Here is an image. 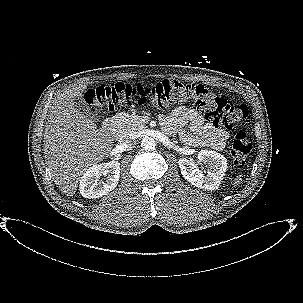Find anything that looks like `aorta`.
<instances>
[{"instance_id": "aorta-1", "label": "aorta", "mask_w": 303, "mask_h": 303, "mask_svg": "<svg viewBox=\"0 0 303 303\" xmlns=\"http://www.w3.org/2000/svg\"><path fill=\"white\" fill-rule=\"evenodd\" d=\"M141 147L145 150H153L156 147V141L152 137L145 136L141 141Z\"/></svg>"}]
</instances>
